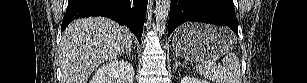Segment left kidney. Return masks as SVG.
Here are the masks:
<instances>
[{"label": "left kidney", "instance_id": "1", "mask_svg": "<svg viewBox=\"0 0 307 83\" xmlns=\"http://www.w3.org/2000/svg\"><path fill=\"white\" fill-rule=\"evenodd\" d=\"M181 83H208V81L194 78L193 76H185L182 78Z\"/></svg>", "mask_w": 307, "mask_h": 83}]
</instances>
